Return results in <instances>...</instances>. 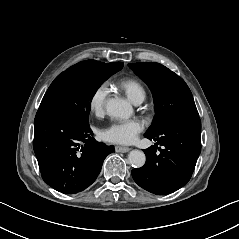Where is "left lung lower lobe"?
Listing matches in <instances>:
<instances>
[{
  "instance_id": "1",
  "label": "left lung lower lobe",
  "mask_w": 239,
  "mask_h": 239,
  "mask_svg": "<svg viewBox=\"0 0 239 239\" xmlns=\"http://www.w3.org/2000/svg\"><path fill=\"white\" fill-rule=\"evenodd\" d=\"M200 133L199 115H189L171 121L157 136L145 135L158 143L145 150V165L132 170L135 182L157 195L183 187L190 180L201 152Z\"/></svg>"
}]
</instances>
